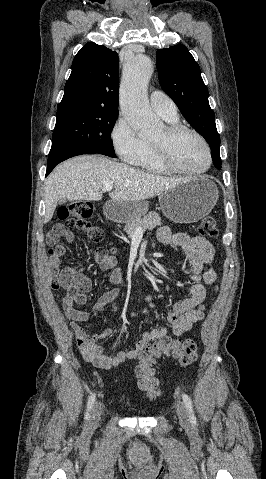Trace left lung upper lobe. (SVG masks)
Masks as SVG:
<instances>
[{
    "instance_id": "obj_1",
    "label": "left lung upper lobe",
    "mask_w": 266,
    "mask_h": 479,
    "mask_svg": "<svg viewBox=\"0 0 266 479\" xmlns=\"http://www.w3.org/2000/svg\"><path fill=\"white\" fill-rule=\"evenodd\" d=\"M156 58L163 91L177 104L188 123L208 142L213 163L220 169V136L199 65L182 44L159 49Z\"/></svg>"
}]
</instances>
